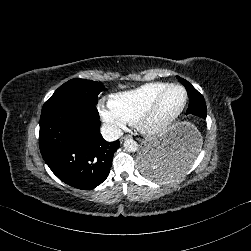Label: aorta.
Returning <instances> with one entry per match:
<instances>
[{
    "mask_svg": "<svg viewBox=\"0 0 251 251\" xmlns=\"http://www.w3.org/2000/svg\"><path fill=\"white\" fill-rule=\"evenodd\" d=\"M123 147L128 152H135L138 148V144L135 140L128 138L124 141Z\"/></svg>",
    "mask_w": 251,
    "mask_h": 251,
    "instance_id": "762f6f07",
    "label": "aorta"
}]
</instances>
